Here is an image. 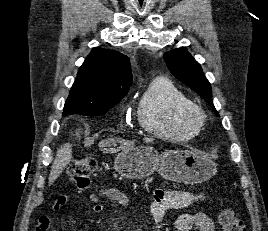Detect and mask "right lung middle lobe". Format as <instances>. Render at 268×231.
Wrapping results in <instances>:
<instances>
[{
  "instance_id": "obj_1",
  "label": "right lung middle lobe",
  "mask_w": 268,
  "mask_h": 231,
  "mask_svg": "<svg viewBox=\"0 0 268 231\" xmlns=\"http://www.w3.org/2000/svg\"><path fill=\"white\" fill-rule=\"evenodd\" d=\"M120 100L106 101L95 105H81L70 102L65 103L63 116L70 114H81L85 116H97L106 113L114 107Z\"/></svg>"
}]
</instances>
